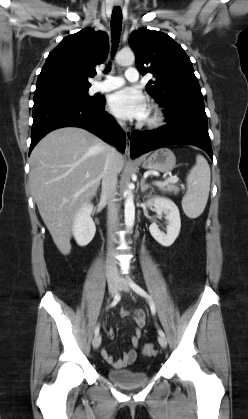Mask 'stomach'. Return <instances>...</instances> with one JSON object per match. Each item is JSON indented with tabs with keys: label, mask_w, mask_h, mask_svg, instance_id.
<instances>
[{
	"label": "stomach",
	"mask_w": 248,
	"mask_h": 419,
	"mask_svg": "<svg viewBox=\"0 0 248 419\" xmlns=\"http://www.w3.org/2000/svg\"><path fill=\"white\" fill-rule=\"evenodd\" d=\"M175 165V155L168 148H161L154 151L147 159H144L142 163L144 169L156 170L159 172H170Z\"/></svg>",
	"instance_id": "stomach-1"
}]
</instances>
